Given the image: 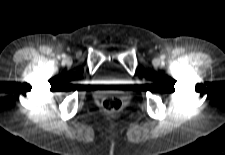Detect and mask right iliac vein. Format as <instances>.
Returning <instances> with one entry per match:
<instances>
[{"label":"right iliac vein","instance_id":"1","mask_svg":"<svg viewBox=\"0 0 225 155\" xmlns=\"http://www.w3.org/2000/svg\"><path fill=\"white\" fill-rule=\"evenodd\" d=\"M66 63H67L68 65H70V64L72 63L71 59H70V58H67V59H66Z\"/></svg>","mask_w":225,"mask_h":155}]
</instances>
